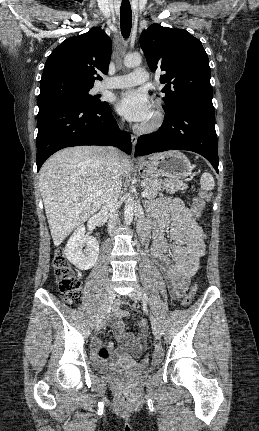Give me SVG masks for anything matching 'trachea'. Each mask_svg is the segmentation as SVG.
I'll use <instances>...</instances> for the list:
<instances>
[{
	"label": "trachea",
	"mask_w": 259,
	"mask_h": 431,
	"mask_svg": "<svg viewBox=\"0 0 259 431\" xmlns=\"http://www.w3.org/2000/svg\"><path fill=\"white\" fill-rule=\"evenodd\" d=\"M132 26V11L128 0H123L120 7V27L124 38L130 35Z\"/></svg>",
	"instance_id": "trachea-1"
}]
</instances>
